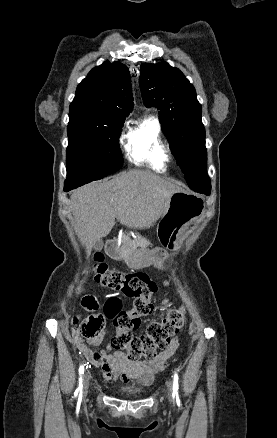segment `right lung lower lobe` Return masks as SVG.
<instances>
[{
	"instance_id": "98d812e1",
	"label": "right lung lower lobe",
	"mask_w": 277,
	"mask_h": 438,
	"mask_svg": "<svg viewBox=\"0 0 277 438\" xmlns=\"http://www.w3.org/2000/svg\"><path fill=\"white\" fill-rule=\"evenodd\" d=\"M78 186H75V185H72V186H67V185H65L64 186V191H70V190H72V189H74V188H77Z\"/></svg>"
}]
</instances>
